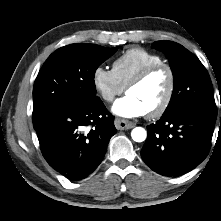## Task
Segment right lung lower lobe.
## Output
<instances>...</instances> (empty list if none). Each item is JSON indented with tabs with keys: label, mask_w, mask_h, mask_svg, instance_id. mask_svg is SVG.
I'll return each mask as SVG.
<instances>
[{
	"label": "right lung lower lobe",
	"mask_w": 221,
	"mask_h": 221,
	"mask_svg": "<svg viewBox=\"0 0 221 221\" xmlns=\"http://www.w3.org/2000/svg\"><path fill=\"white\" fill-rule=\"evenodd\" d=\"M87 127L90 131H84ZM34 128L45 160L70 181L86 178L99 166L117 132L114 117L100 98L86 105L61 106Z\"/></svg>",
	"instance_id": "right-lung-lower-lobe-1"
}]
</instances>
